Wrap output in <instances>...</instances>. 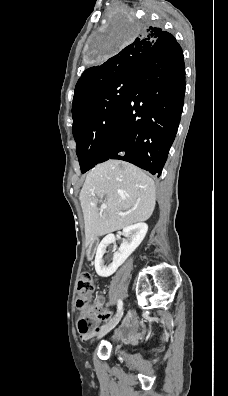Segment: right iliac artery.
Here are the masks:
<instances>
[{"instance_id":"82829eb1","label":"right iliac artery","mask_w":228,"mask_h":396,"mask_svg":"<svg viewBox=\"0 0 228 396\" xmlns=\"http://www.w3.org/2000/svg\"><path fill=\"white\" fill-rule=\"evenodd\" d=\"M122 306H123L122 300L119 299V300H118V303H117V314H116V316H117L118 313L121 311Z\"/></svg>"}]
</instances>
